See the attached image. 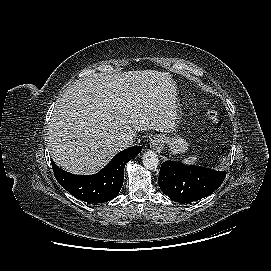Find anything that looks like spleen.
<instances>
[{
  "instance_id": "3e777b00",
  "label": "spleen",
  "mask_w": 271,
  "mask_h": 271,
  "mask_svg": "<svg viewBox=\"0 0 271 271\" xmlns=\"http://www.w3.org/2000/svg\"><path fill=\"white\" fill-rule=\"evenodd\" d=\"M198 159L197 157L195 156H189L187 158H184L182 160L183 163L187 164V165H193V164H196L198 162Z\"/></svg>"
}]
</instances>
